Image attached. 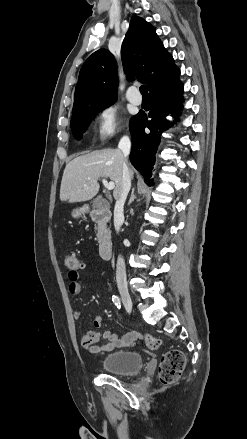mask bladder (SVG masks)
<instances>
[{
	"label": "bladder",
	"instance_id": "31cf9c89",
	"mask_svg": "<svg viewBox=\"0 0 247 439\" xmlns=\"http://www.w3.org/2000/svg\"><path fill=\"white\" fill-rule=\"evenodd\" d=\"M104 371L115 375H134L143 367V357L137 351L125 350L108 354L102 360Z\"/></svg>",
	"mask_w": 247,
	"mask_h": 439
}]
</instances>
